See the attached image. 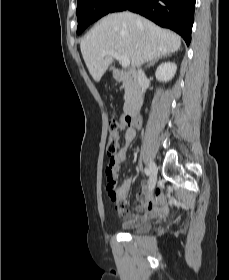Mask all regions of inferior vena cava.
<instances>
[{"instance_id": "inferior-vena-cava-1", "label": "inferior vena cava", "mask_w": 229, "mask_h": 280, "mask_svg": "<svg viewBox=\"0 0 229 280\" xmlns=\"http://www.w3.org/2000/svg\"><path fill=\"white\" fill-rule=\"evenodd\" d=\"M146 80L145 73L142 69H138V81L139 83H143Z\"/></svg>"}]
</instances>
